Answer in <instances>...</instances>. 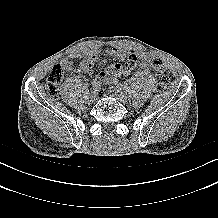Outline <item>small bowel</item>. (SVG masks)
<instances>
[{
	"instance_id": "c3829d8e",
	"label": "small bowel",
	"mask_w": 218,
	"mask_h": 218,
	"mask_svg": "<svg viewBox=\"0 0 218 218\" xmlns=\"http://www.w3.org/2000/svg\"><path fill=\"white\" fill-rule=\"evenodd\" d=\"M103 54L106 57H115L119 60H126L123 65L122 75L130 74L137 64H139L143 69H150L153 63V56L148 52H135L133 50L114 47L106 51H102L100 49L76 51L71 53L69 56L62 58L60 65L65 70H72L73 66L71 59L81 58L82 62L80 65V71L86 74H91L94 69L95 61ZM106 62V59L102 60L100 66H104Z\"/></svg>"
}]
</instances>
